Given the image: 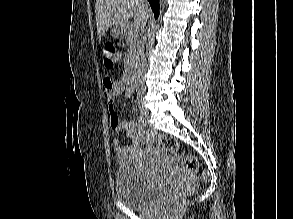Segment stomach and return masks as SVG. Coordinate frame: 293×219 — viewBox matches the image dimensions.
<instances>
[{
    "instance_id": "0dacf381",
    "label": "stomach",
    "mask_w": 293,
    "mask_h": 219,
    "mask_svg": "<svg viewBox=\"0 0 293 219\" xmlns=\"http://www.w3.org/2000/svg\"><path fill=\"white\" fill-rule=\"evenodd\" d=\"M125 32V28L120 26H113L111 29V36L114 38H118L119 36L123 35Z\"/></svg>"
}]
</instances>
